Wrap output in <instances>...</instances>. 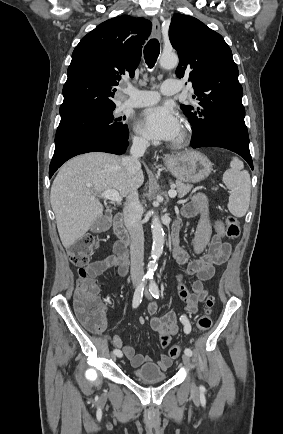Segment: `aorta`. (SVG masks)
<instances>
[{"instance_id": "762f6f07", "label": "aorta", "mask_w": 283, "mask_h": 434, "mask_svg": "<svg viewBox=\"0 0 283 434\" xmlns=\"http://www.w3.org/2000/svg\"><path fill=\"white\" fill-rule=\"evenodd\" d=\"M159 62L161 67L165 69H171L178 65L179 59L178 56L174 53L162 54ZM151 213L154 214L153 211ZM151 231H152V238H153L151 257L153 260L148 264L149 274H153V272L155 271L157 267L156 260L162 254L163 246L165 242L164 230L158 216L156 215H154L152 218Z\"/></svg>"}]
</instances>
